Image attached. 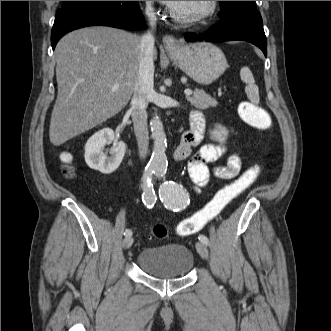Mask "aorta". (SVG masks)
<instances>
[{"label": "aorta", "mask_w": 331, "mask_h": 331, "mask_svg": "<svg viewBox=\"0 0 331 331\" xmlns=\"http://www.w3.org/2000/svg\"><path fill=\"white\" fill-rule=\"evenodd\" d=\"M150 128L154 139L153 153L150 160V169L157 175L164 174L167 170V139L164 132L163 123L158 115L150 121Z\"/></svg>", "instance_id": "762f6f07"}]
</instances>
